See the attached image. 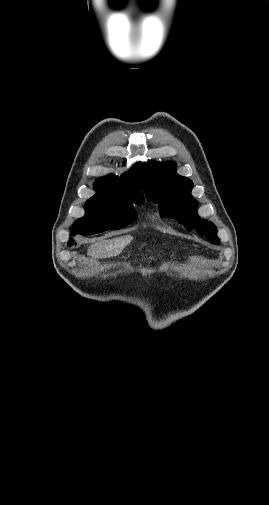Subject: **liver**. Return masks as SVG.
Here are the masks:
<instances>
[{
    "label": "liver",
    "mask_w": 269,
    "mask_h": 505,
    "mask_svg": "<svg viewBox=\"0 0 269 505\" xmlns=\"http://www.w3.org/2000/svg\"><path fill=\"white\" fill-rule=\"evenodd\" d=\"M132 240L133 237L131 235H126L100 241L88 249V254L94 258L112 257L119 254Z\"/></svg>",
    "instance_id": "6515ba94"
}]
</instances>
